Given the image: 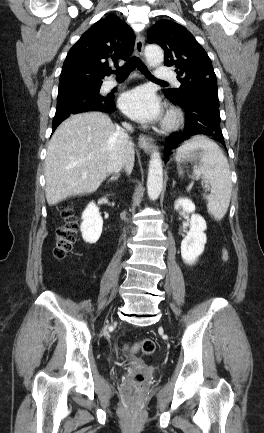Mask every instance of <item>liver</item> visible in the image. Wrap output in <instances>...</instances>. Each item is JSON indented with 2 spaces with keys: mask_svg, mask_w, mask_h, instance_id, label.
Wrapping results in <instances>:
<instances>
[{
  "mask_svg": "<svg viewBox=\"0 0 264 433\" xmlns=\"http://www.w3.org/2000/svg\"><path fill=\"white\" fill-rule=\"evenodd\" d=\"M115 125L100 112L69 117L54 132L45 159V194L49 206L71 196L95 192L106 179L116 150ZM130 142L125 169L134 165Z\"/></svg>",
  "mask_w": 264,
  "mask_h": 433,
  "instance_id": "liver-1",
  "label": "liver"
}]
</instances>
